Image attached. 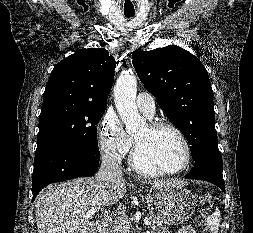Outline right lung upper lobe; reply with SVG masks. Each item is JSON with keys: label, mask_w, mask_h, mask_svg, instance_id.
I'll list each match as a JSON object with an SVG mask.
<instances>
[{"label": "right lung upper lobe", "mask_w": 253, "mask_h": 233, "mask_svg": "<svg viewBox=\"0 0 253 233\" xmlns=\"http://www.w3.org/2000/svg\"><path fill=\"white\" fill-rule=\"evenodd\" d=\"M116 62L103 48L79 50L60 61L52 70L43 95L48 102L106 104Z\"/></svg>", "instance_id": "right-lung-upper-lobe-1"}]
</instances>
